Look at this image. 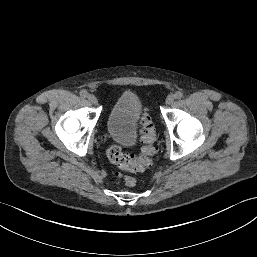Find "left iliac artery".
Returning a JSON list of instances; mask_svg holds the SVG:
<instances>
[{
    "label": "left iliac artery",
    "mask_w": 257,
    "mask_h": 257,
    "mask_svg": "<svg viewBox=\"0 0 257 257\" xmlns=\"http://www.w3.org/2000/svg\"><path fill=\"white\" fill-rule=\"evenodd\" d=\"M174 97H175L176 99H181V98L183 97V93L180 92V91H177V92L174 94Z\"/></svg>",
    "instance_id": "1"
}]
</instances>
